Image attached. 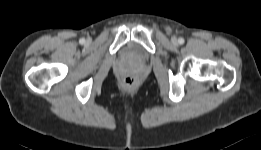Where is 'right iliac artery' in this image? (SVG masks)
Masks as SVG:
<instances>
[{
	"instance_id": "obj_1",
	"label": "right iliac artery",
	"mask_w": 261,
	"mask_h": 150,
	"mask_svg": "<svg viewBox=\"0 0 261 150\" xmlns=\"http://www.w3.org/2000/svg\"><path fill=\"white\" fill-rule=\"evenodd\" d=\"M80 44H84L85 43V39L84 38H82V39H80Z\"/></svg>"
}]
</instances>
